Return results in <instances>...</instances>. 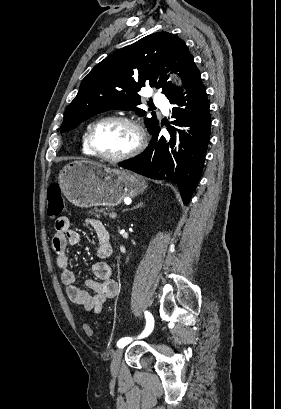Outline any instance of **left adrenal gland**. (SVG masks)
Here are the masks:
<instances>
[{
    "instance_id": "a2214340",
    "label": "left adrenal gland",
    "mask_w": 281,
    "mask_h": 409,
    "mask_svg": "<svg viewBox=\"0 0 281 409\" xmlns=\"http://www.w3.org/2000/svg\"><path fill=\"white\" fill-rule=\"evenodd\" d=\"M139 207H144V202H138L137 207H133V209H139ZM132 211V209H131Z\"/></svg>"
}]
</instances>
